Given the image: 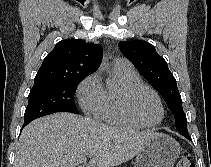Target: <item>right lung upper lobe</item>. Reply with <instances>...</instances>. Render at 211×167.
Returning a JSON list of instances; mask_svg holds the SVG:
<instances>
[{"mask_svg": "<svg viewBox=\"0 0 211 167\" xmlns=\"http://www.w3.org/2000/svg\"><path fill=\"white\" fill-rule=\"evenodd\" d=\"M102 48L81 39L58 42L34 78V83L70 81L85 78L98 69Z\"/></svg>", "mask_w": 211, "mask_h": 167, "instance_id": "cb5924a9", "label": "right lung upper lobe"}]
</instances>
